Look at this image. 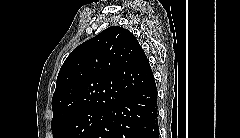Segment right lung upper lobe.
Returning a JSON list of instances; mask_svg holds the SVG:
<instances>
[{"label":"right lung upper lobe","mask_w":240,"mask_h":138,"mask_svg":"<svg viewBox=\"0 0 240 138\" xmlns=\"http://www.w3.org/2000/svg\"><path fill=\"white\" fill-rule=\"evenodd\" d=\"M153 79L136 37L123 27L111 26L76 47L65 60L52 98V121L85 109H108Z\"/></svg>","instance_id":"right-lung-upper-lobe-1"}]
</instances>
